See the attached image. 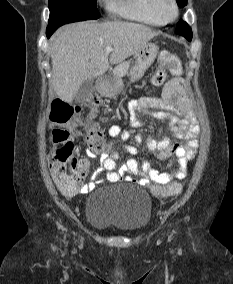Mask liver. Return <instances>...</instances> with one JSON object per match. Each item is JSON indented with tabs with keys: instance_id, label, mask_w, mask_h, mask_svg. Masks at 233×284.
Listing matches in <instances>:
<instances>
[{
	"instance_id": "6515ba94",
	"label": "liver",
	"mask_w": 233,
	"mask_h": 284,
	"mask_svg": "<svg viewBox=\"0 0 233 284\" xmlns=\"http://www.w3.org/2000/svg\"><path fill=\"white\" fill-rule=\"evenodd\" d=\"M158 32L130 22H81L66 25L51 38L53 87L67 103L86 80L103 75L110 64H118L140 51ZM113 48L108 59L106 47Z\"/></svg>"
}]
</instances>
